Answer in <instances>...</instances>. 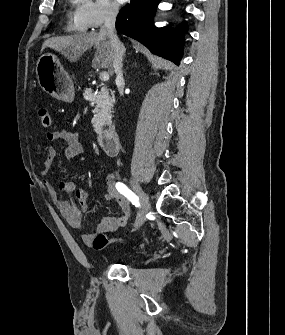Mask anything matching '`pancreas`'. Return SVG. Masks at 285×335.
Listing matches in <instances>:
<instances>
[{"mask_svg": "<svg viewBox=\"0 0 285 335\" xmlns=\"http://www.w3.org/2000/svg\"><path fill=\"white\" fill-rule=\"evenodd\" d=\"M86 93L92 92L91 86L84 88ZM94 104H96L94 112V118H92V125H106L111 124V112H113V100L111 96H108V90L102 88L101 92H97L94 96Z\"/></svg>", "mask_w": 285, "mask_h": 335, "instance_id": "cf45deb5", "label": "pancreas"}]
</instances>
